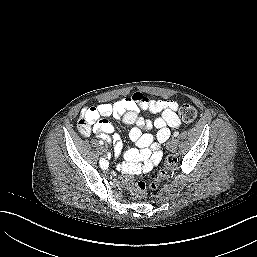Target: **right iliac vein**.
<instances>
[{"label": "right iliac vein", "mask_w": 257, "mask_h": 257, "mask_svg": "<svg viewBox=\"0 0 257 257\" xmlns=\"http://www.w3.org/2000/svg\"><path fill=\"white\" fill-rule=\"evenodd\" d=\"M101 151H102L103 154H105L106 151H107L106 147L105 146L101 147Z\"/></svg>", "instance_id": "right-iliac-vein-1"}]
</instances>
